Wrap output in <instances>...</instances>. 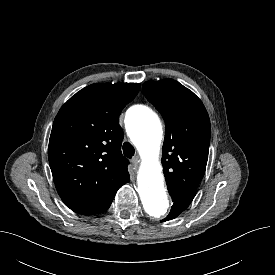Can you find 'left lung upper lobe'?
<instances>
[{
    "label": "left lung upper lobe",
    "instance_id": "5c2ea615",
    "mask_svg": "<svg viewBox=\"0 0 275 275\" xmlns=\"http://www.w3.org/2000/svg\"><path fill=\"white\" fill-rule=\"evenodd\" d=\"M143 92L165 121L162 165L168 191L196 193L210 144V120L203 103L170 78L145 82Z\"/></svg>",
    "mask_w": 275,
    "mask_h": 275
}]
</instances>
